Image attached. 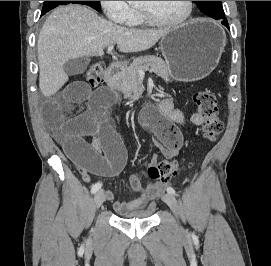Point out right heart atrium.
<instances>
[{
  "instance_id": "obj_1",
  "label": "right heart atrium",
  "mask_w": 271,
  "mask_h": 266,
  "mask_svg": "<svg viewBox=\"0 0 271 266\" xmlns=\"http://www.w3.org/2000/svg\"><path fill=\"white\" fill-rule=\"evenodd\" d=\"M100 5L107 19L114 24L127 25L134 15V9L127 1H100Z\"/></svg>"
}]
</instances>
